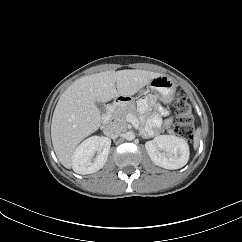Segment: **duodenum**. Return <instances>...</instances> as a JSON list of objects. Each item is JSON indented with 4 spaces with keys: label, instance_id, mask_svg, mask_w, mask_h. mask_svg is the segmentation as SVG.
I'll list each match as a JSON object with an SVG mask.
<instances>
[{
    "label": "duodenum",
    "instance_id": "1",
    "mask_svg": "<svg viewBox=\"0 0 242 242\" xmlns=\"http://www.w3.org/2000/svg\"><path fill=\"white\" fill-rule=\"evenodd\" d=\"M120 100H121L120 97L115 98L107 105L106 112L102 118V128H103V131L106 133L109 132V122H110L111 113L113 112L115 106L119 104Z\"/></svg>",
    "mask_w": 242,
    "mask_h": 242
}]
</instances>
